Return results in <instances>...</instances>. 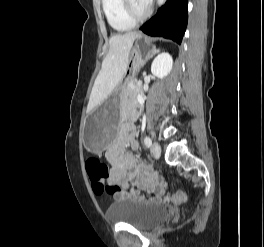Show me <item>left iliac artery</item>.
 I'll use <instances>...</instances> for the list:
<instances>
[{
  "label": "left iliac artery",
  "instance_id": "obj_1",
  "mask_svg": "<svg viewBox=\"0 0 264 247\" xmlns=\"http://www.w3.org/2000/svg\"><path fill=\"white\" fill-rule=\"evenodd\" d=\"M144 144L146 145V147H150L152 145V141L149 136L144 137Z\"/></svg>",
  "mask_w": 264,
  "mask_h": 247
}]
</instances>
